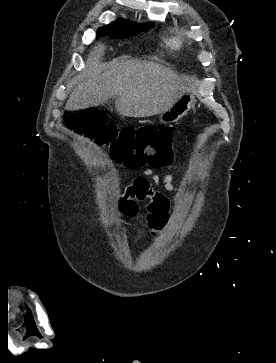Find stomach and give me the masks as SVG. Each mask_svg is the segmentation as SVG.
<instances>
[{
  "mask_svg": "<svg viewBox=\"0 0 276 363\" xmlns=\"http://www.w3.org/2000/svg\"><path fill=\"white\" fill-rule=\"evenodd\" d=\"M194 103V95L184 92L168 109L159 113V119L164 124L176 122L188 113Z\"/></svg>",
  "mask_w": 276,
  "mask_h": 363,
  "instance_id": "obj_1",
  "label": "stomach"
}]
</instances>
